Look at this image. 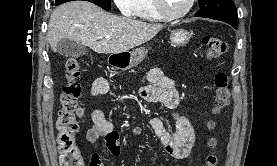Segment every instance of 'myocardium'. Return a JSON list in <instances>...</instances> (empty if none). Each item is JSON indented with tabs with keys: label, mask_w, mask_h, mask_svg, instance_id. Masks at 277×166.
<instances>
[{
	"label": "myocardium",
	"mask_w": 277,
	"mask_h": 166,
	"mask_svg": "<svg viewBox=\"0 0 277 166\" xmlns=\"http://www.w3.org/2000/svg\"><path fill=\"white\" fill-rule=\"evenodd\" d=\"M154 1V5L155 8L157 10V12L159 13V15L164 19V20H168V21H174V20H178L183 18L184 16H186L192 9L195 0H188L185 8L183 10H181L178 13H170L164 4V0H153Z\"/></svg>",
	"instance_id": "1"
}]
</instances>
